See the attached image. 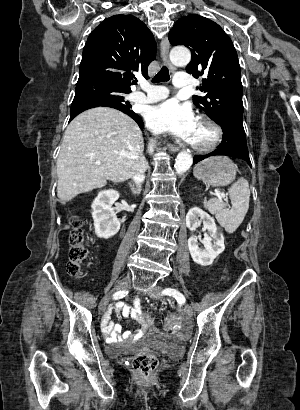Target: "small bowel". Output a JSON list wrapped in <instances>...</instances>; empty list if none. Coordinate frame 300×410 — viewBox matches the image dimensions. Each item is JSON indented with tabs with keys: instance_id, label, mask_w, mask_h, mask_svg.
<instances>
[{
	"instance_id": "small-bowel-1",
	"label": "small bowel",
	"mask_w": 300,
	"mask_h": 410,
	"mask_svg": "<svg viewBox=\"0 0 300 410\" xmlns=\"http://www.w3.org/2000/svg\"><path fill=\"white\" fill-rule=\"evenodd\" d=\"M116 314L125 318H131L141 324V328L135 333L122 332V326L112 321V315ZM102 332L110 342H116L120 339L135 338L139 339L144 336L153 327V321L150 316L145 315L139 307H130L122 302L116 303L110 307L102 319Z\"/></svg>"
}]
</instances>
